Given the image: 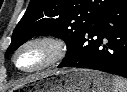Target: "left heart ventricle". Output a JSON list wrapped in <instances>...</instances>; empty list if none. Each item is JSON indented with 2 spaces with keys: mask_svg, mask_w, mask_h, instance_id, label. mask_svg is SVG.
I'll list each match as a JSON object with an SVG mask.
<instances>
[{
  "mask_svg": "<svg viewBox=\"0 0 127 92\" xmlns=\"http://www.w3.org/2000/svg\"><path fill=\"white\" fill-rule=\"evenodd\" d=\"M49 56L46 47L33 45L24 49L18 56V65L24 69H30L44 63Z\"/></svg>",
  "mask_w": 127,
  "mask_h": 92,
  "instance_id": "obj_1",
  "label": "left heart ventricle"
}]
</instances>
